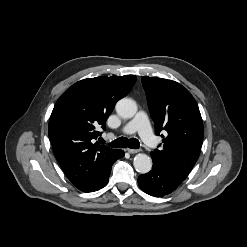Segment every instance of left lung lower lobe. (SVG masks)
Here are the masks:
<instances>
[{
    "label": "left lung lower lobe",
    "mask_w": 247,
    "mask_h": 247,
    "mask_svg": "<svg viewBox=\"0 0 247 247\" xmlns=\"http://www.w3.org/2000/svg\"><path fill=\"white\" fill-rule=\"evenodd\" d=\"M184 179L170 168L153 162L152 170L138 177V184L147 194L163 197L175 190Z\"/></svg>",
    "instance_id": "1"
}]
</instances>
